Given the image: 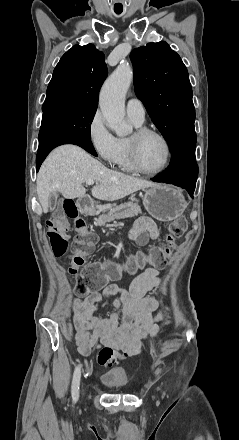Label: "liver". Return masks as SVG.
Returning <instances> with one entry per match:
<instances>
[{
    "instance_id": "1",
    "label": "liver",
    "mask_w": 239,
    "mask_h": 440,
    "mask_svg": "<svg viewBox=\"0 0 239 440\" xmlns=\"http://www.w3.org/2000/svg\"><path fill=\"white\" fill-rule=\"evenodd\" d=\"M94 180L91 194L98 200L114 202L145 188H158L159 184L126 176L108 170L78 146H59L43 162L37 176V196L44 214L48 212V198L52 192H61L63 198H84L82 184Z\"/></svg>"
}]
</instances>
